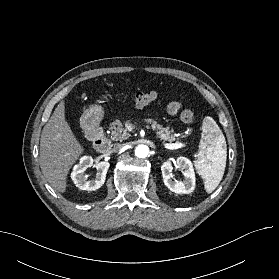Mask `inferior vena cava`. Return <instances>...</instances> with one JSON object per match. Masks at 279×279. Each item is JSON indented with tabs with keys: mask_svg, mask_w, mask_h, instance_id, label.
Returning <instances> with one entry per match:
<instances>
[{
	"mask_svg": "<svg viewBox=\"0 0 279 279\" xmlns=\"http://www.w3.org/2000/svg\"><path fill=\"white\" fill-rule=\"evenodd\" d=\"M122 148H123V144H116L113 147L112 151L116 153V152H119Z\"/></svg>",
	"mask_w": 279,
	"mask_h": 279,
	"instance_id": "inferior-vena-cava-1",
	"label": "inferior vena cava"
}]
</instances>
